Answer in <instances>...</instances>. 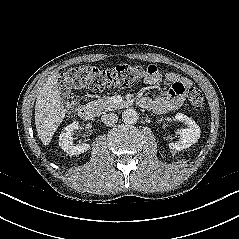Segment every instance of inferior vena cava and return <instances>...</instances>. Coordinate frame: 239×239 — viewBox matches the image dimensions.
Segmentation results:
<instances>
[{
    "label": "inferior vena cava",
    "instance_id": "602c4592",
    "mask_svg": "<svg viewBox=\"0 0 239 239\" xmlns=\"http://www.w3.org/2000/svg\"><path fill=\"white\" fill-rule=\"evenodd\" d=\"M118 120V116L115 113H104L101 117V121L107 125H114Z\"/></svg>",
    "mask_w": 239,
    "mask_h": 239
}]
</instances>
